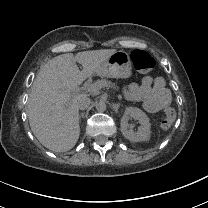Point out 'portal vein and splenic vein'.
I'll use <instances>...</instances> for the list:
<instances>
[{
    "instance_id": "obj_1",
    "label": "portal vein and splenic vein",
    "mask_w": 208,
    "mask_h": 208,
    "mask_svg": "<svg viewBox=\"0 0 208 208\" xmlns=\"http://www.w3.org/2000/svg\"><path fill=\"white\" fill-rule=\"evenodd\" d=\"M110 88L111 90L115 89V85L113 83H107V81H101V82H94L93 84L86 85L83 87V89H75L77 90H84L88 91L89 93L97 92L99 89L104 88V87Z\"/></svg>"
}]
</instances>
